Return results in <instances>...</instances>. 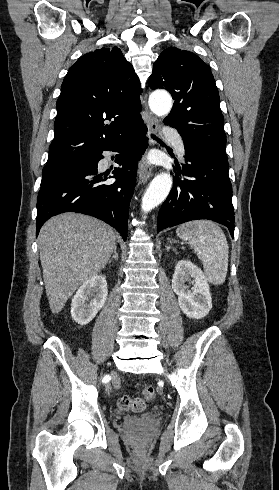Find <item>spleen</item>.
<instances>
[{
    "label": "spleen",
    "mask_w": 279,
    "mask_h": 490,
    "mask_svg": "<svg viewBox=\"0 0 279 490\" xmlns=\"http://www.w3.org/2000/svg\"><path fill=\"white\" fill-rule=\"evenodd\" d=\"M181 240H188L196 256L203 262L209 284L221 286L228 272V244L225 234L210 220H195L182 224L176 230Z\"/></svg>",
    "instance_id": "3e777b00"
}]
</instances>
